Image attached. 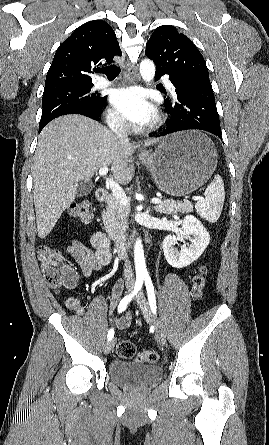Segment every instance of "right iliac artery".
<instances>
[{"label": "right iliac artery", "instance_id": "right-iliac-artery-1", "mask_svg": "<svg viewBox=\"0 0 269 445\" xmlns=\"http://www.w3.org/2000/svg\"><path fill=\"white\" fill-rule=\"evenodd\" d=\"M143 280H144L143 277H138L136 279L133 292L131 294L125 296L120 301L119 306H118V313L123 312L127 308L128 304L130 303L132 298L141 290L142 285H143ZM113 337H114V330L110 329L107 334L108 341L112 340Z\"/></svg>", "mask_w": 269, "mask_h": 445}]
</instances>
